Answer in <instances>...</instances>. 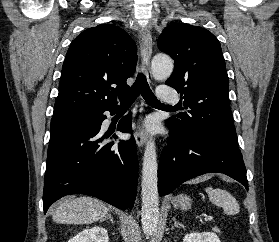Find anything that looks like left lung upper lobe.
<instances>
[{
  "label": "left lung upper lobe",
  "mask_w": 279,
  "mask_h": 242,
  "mask_svg": "<svg viewBox=\"0 0 279 242\" xmlns=\"http://www.w3.org/2000/svg\"><path fill=\"white\" fill-rule=\"evenodd\" d=\"M158 46L174 59V71L166 84L191 109L170 117L167 124L188 140L206 137L237 146L229 80L218 39L204 28L173 24L163 30Z\"/></svg>",
  "instance_id": "5c2ea615"
}]
</instances>
